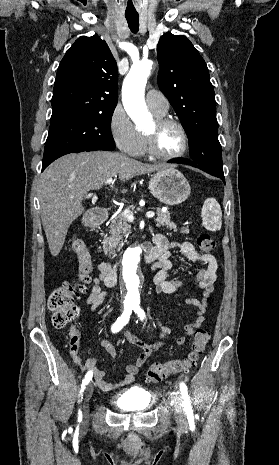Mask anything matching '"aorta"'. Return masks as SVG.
I'll return each instance as SVG.
<instances>
[{
	"label": "aorta",
	"instance_id": "762f6f07",
	"mask_svg": "<svg viewBox=\"0 0 279 465\" xmlns=\"http://www.w3.org/2000/svg\"><path fill=\"white\" fill-rule=\"evenodd\" d=\"M152 61H142L131 67L122 86L124 108L137 127H142L149 118L144 100L147 78L152 69ZM141 248L132 246L126 250L122 260L121 281L126 290V300L137 302L141 287L139 273Z\"/></svg>",
	"mask_w": 279,
	"mask_h": 465
}]
</instances>
